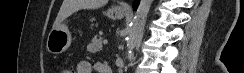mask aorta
<instances>
[{
	"label": "aorta",
	"mask_w": 244,
	"mask_h": 73,
	"mask_svg": "<svg viewBox=\"0 0 244 73\" xmlns=\"http://www.w3.org/2000/svg\"><path fill=\"white\" fill-rule=\"evenodd\" d=\"M152 3L153 0H140L127 37V48L129 52L135 46L138 37L144 29Z\"/></svg>",
	"instance_id": "762f6f07"
}]
</instances>
